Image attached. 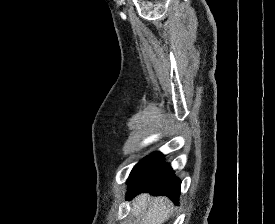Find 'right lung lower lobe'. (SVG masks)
<instances>
[{"instance_id":"1","label":"right lung lower lobe","mask_w":275,"mask_h":224,"mask_svg":"<svg viewBox=\"0 0 275 224\" xmlns=\"http://www.w3.org/2000/svg\"><path fill=\"white\" fill-rule=\"evenodd\" d=\"M163 159L160 152H154L133 168L128 178V199L149 192L154 196H167L178 203L181 181L174 176V171Z\"/></svg>"}]
</instances>
